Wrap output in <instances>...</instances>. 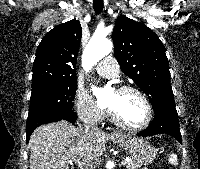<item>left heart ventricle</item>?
Listing matches in <instances>:
<instances>
[{"instance_id":"left-heart-ventricle-1","label":"left heart ventricle","mask_w":200,"mask_h":169,"mask_svg":"<svg viewBox=\"0 0 200 169\" xmlns=\"http://www.w3.org/2000/svg\"><path fill=\"white\" fill-rule=\"evenodd\" d=\"M107 105L113 108L119 118L130 126L141 125L147 116L144 101L134 92L114 91L108 97Z\"/></svg>"}]
</instances>
